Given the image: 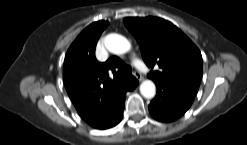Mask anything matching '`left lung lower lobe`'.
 Instances as JSON below:
<instances>
[{
  "instance_id": "0a47b994",
  "label": "left lung lower lobe",
  "mask_w": 247,
  "mask_h": 145,
  "mask_svg": "<svg viewBox=\"0 0 247 145\" xmlns=\"http://www.w3.org/2000/svg\"><path fill=\"white\" fill-rule=\"evenodd\" d=\"M154 82L157 94L149 105V111L156 120L172 122L181 117L193 103L195 95L162 81Z\"/></svg>"
}]
</instances>
